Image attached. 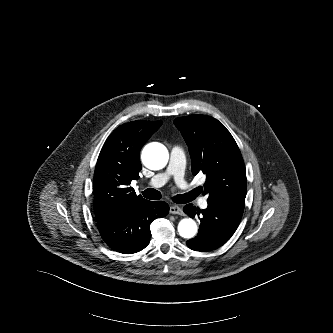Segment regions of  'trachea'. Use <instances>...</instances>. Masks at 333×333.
Returning a JSON list of instances; mask_svg holds the SVG:
<instances>
[{
    "mask_svg": "<svg viewBox=\"0 0 333 333\" xmlns=\"http://www.w3.org/2000/svg\"><path fill=\"white\" fill-rule=\"evenodd\" d=\"M143 195L150 199H158L160 197V193L157 190L152 189V188L145 190L143 192ZM192 199H193V193L190 192V193L176 196V198H174V201H176L177 203H187V202H190Z\"/></svg>",
    "mask_w": 333,
    "mask_h": 333,
    "instance_id": "3493384b",
    "label": "trachea"
}]
</instances>
